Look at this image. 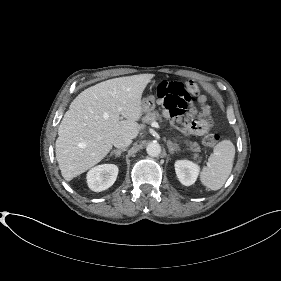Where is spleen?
<instances>
[{"label": "spleen", "instance_id": "1", "mask_svg": "<svg viewBox=\"0 0 281 281\" xmlns=\"http://www.w3.org/2000/svg\"><path fill=\"white\" fill-rule=\"evenodd\" d=\"M235 157V146L230 140L220 141L203 167L200 180L210 190H219L231 174Z\"/></svg>", "mask_w": 281, "mask_h": 281}]
</instances>
